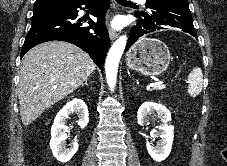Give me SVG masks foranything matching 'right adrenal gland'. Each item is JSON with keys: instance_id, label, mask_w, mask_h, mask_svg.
<instances>
[{"instance_id": "1", "label": "right adrenal gland", "mask_w": 227, "mask_h": 166, "mask_svg": "<svg viewBox=\"0 0 227 166\" xmlns=\"http://www.w3.org/2000/svg\"><path fill=\"white\" fill-rule=\"evenodd\" d=\"M83 85H88V81L86 80L85 83H84ZM83 85H82V86H83Z\"/></svg>"}]
</instances>
